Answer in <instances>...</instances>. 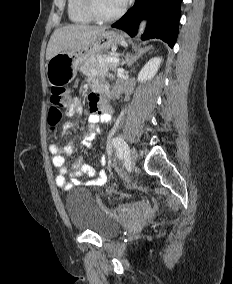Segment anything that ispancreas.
Here are the masks:
<instances>
[{"label":"pancreas","instance_id":"obj_1","mask_svg":"<svg viewBox=\"0 0 233 284\" xmlns=\"http://www.w3.org/2000/svg\"><path fill=\"white\" fill-rule=\"evenodd\" d=\"M108 57L110 56L105 54L93 56L80 66V71L84 75L93 76L105 74L109 69L112 71L116 70L118 63L105 62Z\"/></svg>","mask_w":233,"mask_h":284}]
</instances>
